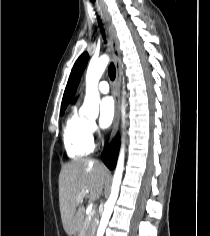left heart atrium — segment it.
Segmentation results:
<instances>
[{
  "label": "left heart atrium",
  "mask_w": 210,
  "mask_h": 236,
  "mask_svg": "<svg viewBox=\"0 0 210 236\" xmlns=\"http://www.w3.org/2000/svg\"><path fill=\"white\" fill-rule=\"evenodd\" d=\"M115 115L114 101L111 97H105L100 104L99 124L102 128L111 125Z\"/></svg>",
  "instance_id": "left-heart-atrium-1"
}]
</instances>
